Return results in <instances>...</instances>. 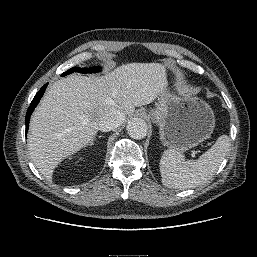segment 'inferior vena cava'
Returning a JSON list of instances; mask_svg holds the SVG:
<instances>
[{
  "mask_svg": "<svg viewBox=\"0 0 257 257\" xmlns=\"http://www.w3.org/2000/svg\"><path fill=\"white\" fill-rule=\"evenodd\" d=\"M124 120V115L119 111H113L103 116L99 121V130L111 131L119 127Z\"/></svg>",
  "mask_w": 257,
  "mask_h": 257,
  "instance_id": "obj_1",
  "label": "inferior vena cava"
}]
</instances>
